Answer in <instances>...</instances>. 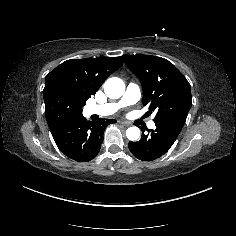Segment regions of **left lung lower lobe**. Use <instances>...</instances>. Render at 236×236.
Returning <instances> with one entry per match:
<instances>
[{
    "instance_id": "left-lung-lower-lobe-1",
    "label": "left lung lower lobe",
    "mask_w": 236,
    "mask_h": 236,
    "mask_svg": "<svg viewBox=\"0 0 236 236\" xmlns=\"http://www.w3.org/2000/svg\"><path fill=\"white\" fill-rule=\"evenodd\" d=\"M156 129L149 135H145L137 142H129L128 146L131 153L143 161H153L164 155L173 145L182 126L173 121L155 123Z\"/></svg>"
}]
</instances>
